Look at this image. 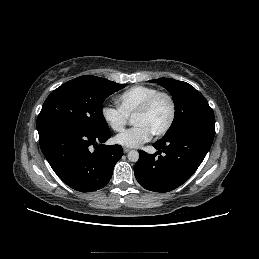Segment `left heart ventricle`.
<instances>
[{
    "instance_id": "left-heart-ventricle-1",
    "label": "left heart ventricle",
    "mask_w": 259,
    "mask_h": 259,
    "mask_svg": "<svg viewBox=\"0 0 259 259\" xmlns=\"http://www.w3.org/2000/svg\"><path fill=\"white\" fill-rule=\"evenodd\" d=\"M170 103L165 97L158 98L144 115L134 116L133 124L146 127L152 134L161 130L170 117Z\"/></svg>"
}]
</instances>
